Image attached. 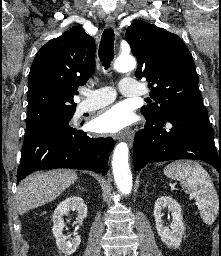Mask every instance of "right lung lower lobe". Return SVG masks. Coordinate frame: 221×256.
Instances as JSON below:
<instances>
[{"label": "right lung lower lobe", "instance_id": "right-lung-lower-lobe-1", "mask_svg": "<svg viewBox=\"0 0 221 256\" xmlns=\"http://www.w3.org/2000/svg\"><path fill=\"white\" fill-rule=\"evenodd\" d=\"M71 119L49 122L25 133L17 181L43 169L73 168L105 173L114 142L90 138L69 125Z\"/></svg>", "mask_w": 221, "mask_h": 256}]
</instances>
